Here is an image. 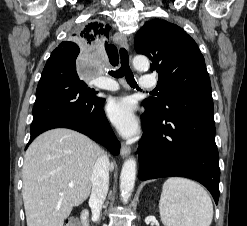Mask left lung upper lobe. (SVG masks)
I'll use <instances>...</instances> for the list:
<instances>
[{"label": "left lung upper lobe", "instance_id": "obj_1", "mask_svg": "<svg viewBox=\"0 0 247 226\" xmlns=\"http://www.w3.org/2000/svg\"><path fill=\"white\" fill-rule=\"evenodd\" d=\"M137 53L151 60L150 70L157 72L158 99L143 101L145 107L163 113L176 94L211 91L205 60L196 42L179 26L165 20L148 21L134 39Z\"/></svg>", "mask_w": 247, "mask_h": 226}]
</instances>
